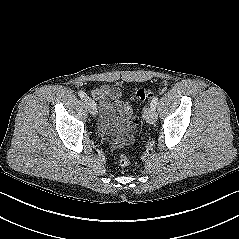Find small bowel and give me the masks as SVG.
I'll list each match as a JSON object with an SVG mask.
<instances>
[{
    "label": "small bowel",
    "instance_id": "obj_1",
    "mask_svg": "<svg viewBox=\"0 0 239 239\" xmlns=\"http://www.w3.org/2000/svg\"><path fill=\"white\" fill-rule=\"evenodd\" d=\"M90 93L99 103V128L104 134L114 136L133 129L136 120L128 104L120 100L122 92L119 87L105 84L92 89Z\"/></svg>",
    "mask_w": 239,
    "mask_h": 239
}]
</instances>
